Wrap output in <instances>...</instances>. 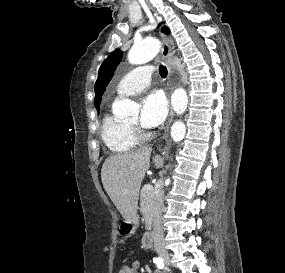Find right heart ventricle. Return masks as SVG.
Here are the masks:
<instances>
[{
  "instance_id": "1",
  "label": "right heart ventricle",
  "mask_w": 285,
  "mask_h": 273,
  "mask_svg": "<svg viewBox=\"0 0 285 273\" xmlns=\"http://www.w3.org/2000/svg\"><path fill=\"white\" fill-rule=\"evenodd\" d=\"M101 138L105 146L114 153H127L138 144V139L129 125L118 121L110 113H106L102 118Z\"/></svg>"
}]
</instances>
